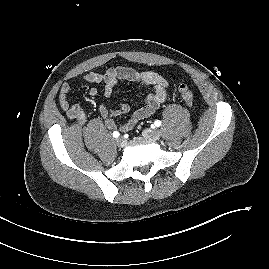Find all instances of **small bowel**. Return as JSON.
<instances>
[{
    "instance_id": "obj_1",
    "label": "small bowel",
    "mask_w": 269,
    "mask_h": 269,
    "mask_svg": "<svg viewBox=\"0 0 269 269\" xmlns=\"http://www.w3.org/2000/svg\"><path fill=\"white\" fill-rule=\"evenodd\" d=\"M122 81L135 82L153 88V92L147 96L144 105L136 109L123 124L117 123L115 117L129 113V105L121 104L114 110L109 109L105 105L99 106V114L108 129H119L126 132L133 129L140 120L155 113L159 106L166 100L170 85L164 77L156 72L142 71L125 66L110 68L104 73L91 72L82 79L84 83L103 85L105 97H111L117 83ZM70 90L71 85L69 83L65 82L62 84L59 93L60 107L69 119L75 120L79 125H84L87 119L86 113L81 106L71 103L69 99ZM89 94L91 96L98 95V89L95 87L91 88Z\"/></svg>"
}]
</instances>
